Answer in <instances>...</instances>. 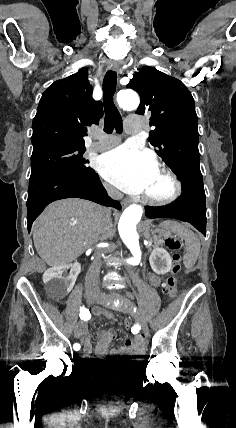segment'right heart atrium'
Wrapping results in <instances>:
<instances>
[{
	"mask_svg": "<svg viewBox=\"0 0 236 428\" xmlns=\"http://www.w3.org/2000/svg\"><path fill=\"white\" fill-rule=\"evenodd\" d=\"M103 189L105 191V193L111 197V198H116L119 196V193L109 184L107 183H102Z\"/></svg>",
	"mask_w": 236,
	"mask_h": 428,
	"instance_id": "obj_1",
	"label": "right heart atrium"
}]
</instances>
